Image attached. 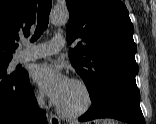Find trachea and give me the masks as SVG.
<instances>
[{
    "label": "trachea",
    "mask_w": 156,
    "mask_h": 124,
    "mask_svg": "<svg viewBox=\"0 0 156 124\" xmlns=\"http://www.w3.org/2000/svg\"><path fill=\"white\" fill-rule=\"evenodd\" d=\"M51 7V0H41L39 2L37 13V28L31 41L37 40L40 35L47 29Z\"/></svg>",
    "instance_id": "trachea-1"
}]
</instances>
